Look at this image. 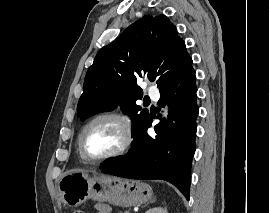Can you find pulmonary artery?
<instances>
[{
    "label": "pulmonary artery",
    "mask_w": 270,
    "mask_h": 213,
    "mask_svg": "<svg viewBox=\"0 0 270 213\" xmlns=\"http://www.w3.org/2000/svg\"><path fill=\"white\" fill-rule=\"evenodd\" d=\"M148 93H149V95H150L151 97H153V98H155V99H157V98L159 97V92H158V90L156 89V87L153 86V85H150V86L148 87Z\"/></svg>",
    "instance_id": "pulmonary-artery-1"
}]
</instances>
